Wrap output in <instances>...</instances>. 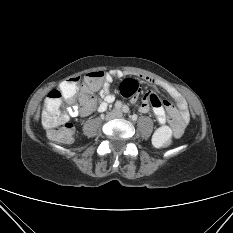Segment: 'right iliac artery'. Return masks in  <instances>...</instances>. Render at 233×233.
I'll list each match as a JSON object with an SVG mask.
<instances>
[{
    "instance_id": "obj_1",
    "label": "right iliac artery",
    "mask_w": 233,
    "mask_h": 233,
    "mask_svg": "<svg viewBox=\"0 0 233 233\" xmlns=\"http://www.w3.org/2000/svg\"><path fill=\"white\" fill-rule=\"evenodd\" d=\"M115 107H116L117 109H120V108L122 107L121 102H117V103L115 104Z\"/></svg>"
}]
</instances>
